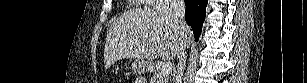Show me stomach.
<instances>
[{
    "label": "stomach",
    "instance_id": "1",
    "mask_svg": "<svg viewBox=\"0 0 307 83\" xmlns=\"http://www.w3.org/2000/svg\"><path fill=\"white\" fill-rule=\"evenodd\" d=\"M135 71H142L145 70V66L143 64L137 63L134 67Z\"/></svg>",
    "mask_w": 307,
    "mask_h": 83
}]
</instances>
